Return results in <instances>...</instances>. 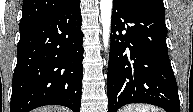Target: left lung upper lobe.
Returning <instances> with one entry per match:
<instances>
[{
  "label": "left lung upper lobe",
  "instance_id": "left-lung-upper-lobe-1",
  "mask_svg": "<svg viewBox=\"0 0 193 112\" xmlns=\"http://www.w3.org/2000/svg\"><path fill=\"white\" fill-rule=\"evenodd\" d=\"M113 2L128 10H142L155 7L164 9L163 0H113Z\"/></svg>",
  "mask_w": 193,
  "mask_h": 112
}]
</instances>
